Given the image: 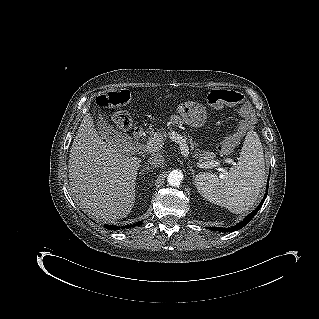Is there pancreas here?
<instances>
[{
  "label": "pancreas",
  "mask_w": 319,
  "mask_h": 319,
  "mask_svg": "<svg viewBox=\"0 0 319 319\" xmlns=\"http://www.w3.org/2000/svg\"><path fill=\"white\" fill-rule=\"evenodd\" d=\"M155 130L151 127H149V129L147 130V133L149 134V138H148V142L150 140H152L155 136V134H162V131L160 132H154ZM162 141L160 143V145L158 146V149L162 147L163 144V136L161 137ZM147 142V143H148ZM190 149L194 150L193 152V156L199 160L200 163L204 164L206 166V168H211L216 166L217 160H215V153L214 152H210V151H206V150H201L198 148V143L190 140Z\"/></svg>",
  "instance_id": "cf45deb5"
}]
</instances>
